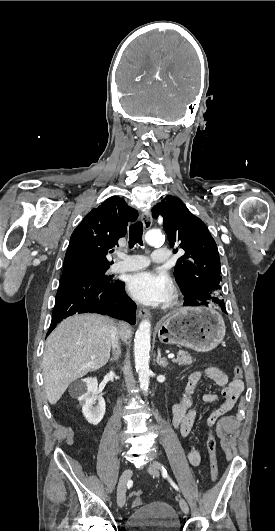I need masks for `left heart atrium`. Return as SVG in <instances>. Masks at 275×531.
I'll return each mask as SVG.
<instances>
[{
    "label": "left heart atrium",
    "mask_w": 275,
    "mask_h": 531,
    "mask_svg": "<svg viewBox=\"0 0 275 531\" xmlns=\"http://www.w3.org/2000/svg\"><path fill=\"white\" fill-rule=\"evenodd\" d=\"M127 288L135 299L147 304H157L167 299L171 282L167 274L145 268L128 276Z\"/></svg>",
    "instance_id": "obj_1"
}]
</instances>
